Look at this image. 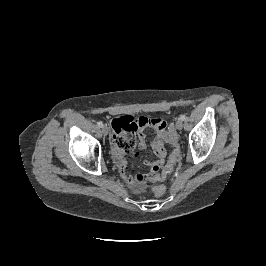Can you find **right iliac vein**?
I'll return each mask as SVG.
<instances>
[{
  "mask_svg": "<svg viewBox=\"0 0 266 266\" xmlns=\"http://www.w3.org/2000/svg\"><path fill=\"white\" fill-rule=\"evenodd\" d=\"M102 133H103L104 135H107V134L109 133V129H108L107 126H103V127H102Z\"/></svg>",
  "mask_w": 266,
  "mask_h": 266,
  "instance_id": "63e3f726",
  "label": "right iliac vein"
}]
</instances>
